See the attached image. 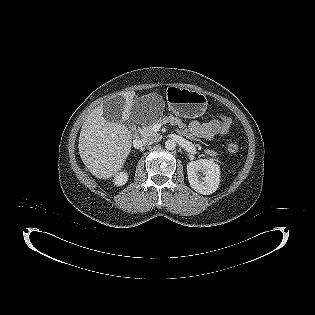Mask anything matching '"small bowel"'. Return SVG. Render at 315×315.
<instances>
[{
  "instance_id": "small-bowel-1",
  "label": "small bowel",
  "mask_w": 315,
  "mask_h": 315,
  "mask_svg": "<svg viewBox=\"0 0 315 315\" xmlns=\"http://www.w3.org/2000/svg\"><path fill=\"white\" fill-rule=\"evenodd\" d=\"M220 119H214L206 123H201L198 120H193L189 124V129L196 137L212 140L220 132Z\"/></svg>"
}]
</instances>
